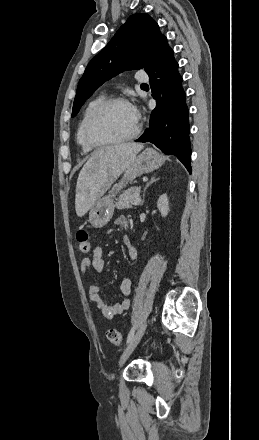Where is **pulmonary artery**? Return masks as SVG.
<instances>
[{"instance_id":"e3ab8cb5","label":"pulmonary artery","mask_w":259,"mask_h":440,"mask_svg":"<svg viewBox=\"0 0 259 440\" xmlns=\"http://www.w3.org/2000/svg\"><path fill=\"white\" fill-rule=\"evenodd\" d=\"M137 81L140 83H146L148 82V76L140 73L137 75Z\"/></svg>"}]
</instances>
